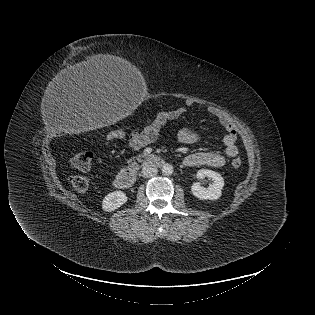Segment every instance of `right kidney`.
Segmentation results:
<instances>
[{"label": "right kidney", "mask_w": 315, "mask_h": 315, "mask_svg": "<svg viewBox=\"0 0 315 315\" xmlns=\"http://www.w3.org/2000/svg\"><path fill=\"white\" fill-rule=\"evenodd\" d=\"M127 202V196L122 191L107 194L102 201V209L107 212L114 211Z\"/></svg>", "instance_id": "obj_1"}]
</instances>
